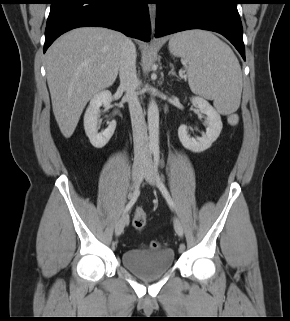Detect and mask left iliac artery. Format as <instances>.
I'll list each match as a JSON object with an SVG mask.
<instances>
[{"instance_id": "obj_1", "label": "left iliac artery", "mask_w": 290, "mask_h": 321, "mask_svg": "<svg viewBox=\"0 0 290 321\" xmlns=\"http://www.w3.org/2000/svg\"><path fill=\"white\" fill-rule=\"evenodd\" d=\"M159 164H160V153L158 151L154 152V169L157 173V177H158V187L162 193V195L165 197V199L167 200L169 206L175 210V205H174V202L166 188V186L164 185L160 175H159V172H158V167H159Z\"/></svg>"}]
</instances>
